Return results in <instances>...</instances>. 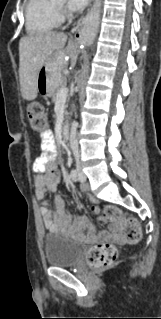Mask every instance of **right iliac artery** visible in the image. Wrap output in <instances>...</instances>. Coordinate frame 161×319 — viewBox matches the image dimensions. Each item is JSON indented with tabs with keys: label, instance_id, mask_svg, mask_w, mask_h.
<instances>
[{
	"label": "right iliac artery",
	"instance_id": "1",
	"mask_svg": "<svg viewBox=\"0 0 161 319\" xmlns=\"http://www.w3.org/2000/svg\"><path fill=\"white\" fill-rule=\"evenodd\" d=\"M70 177L74 182H77L79 180V173L76 169L71 170Z\"/></svg>",
	"mask_w": 161,
	"mask_h": 319
}]
</instances>
